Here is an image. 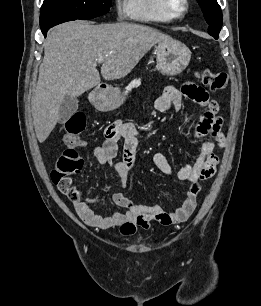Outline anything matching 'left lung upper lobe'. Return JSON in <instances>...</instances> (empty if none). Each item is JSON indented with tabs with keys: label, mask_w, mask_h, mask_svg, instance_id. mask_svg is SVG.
Returning <instances> with one entry per match:
<instances>
[{
	"label": "left lung upper lobe",
	"mask_w": 261,
	"mask_h": 306,
	"mask_svg": "<svg viewBox=\"0 0 261 306\" xmlns=\"http://www.w3.org/2000/svg\"><path fill=\"white\" fill-rule=\"evenodd\" d=\"M204 17L209 24L208 32L213 37H219L222 27V12L217 0H197Z\"/></svg>",
	"instance_id": "5c2ea615"
}]
</instances>
